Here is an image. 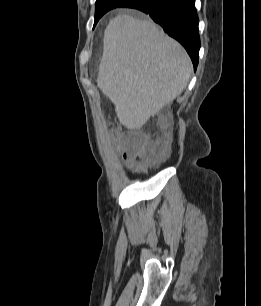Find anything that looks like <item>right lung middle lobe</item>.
I'll return each mask as SVG.
<instances>
[{
    "mask_svg": "<svg viewBox=\"0 0 261 306\" xmlns=\"http://www.w3.org/2000/svg\"><path fill=\"white\" fill-rule=\"evenodd\" d=\"M127 1L128 0H106L100 3H96L95 24L107 11L113 8L121 7Z\"/></svg>",
    "mask_w": 261,
    "mask_h": 306,
    "instance_id": "obj_1",
    "label": "right lung middle lobe"
}]
</instances>
